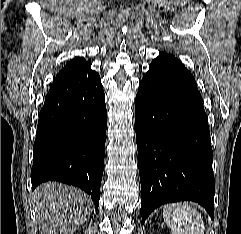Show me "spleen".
Returning <instances> with one entry per match:
<instances>
[{
    "label": "spleen",
    "instance_id": "1",
    "mask_svg": "<svg viewBox=\"0 0 241 234\" xmlns=\"http://www.w3.org/2000/svg\"><path fill=\"white\" fill-rule=\"evenodd\" d=\"M163 218L172 234H204L201 214L186 202L166 205Z\"/></svg>",
    "mask_w": 241,
    "mask_h": 234
}]
</instances>
